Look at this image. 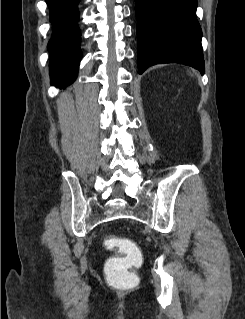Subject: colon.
<instances>
[{
	"instance_id": "obj_1",
	"label": "colon",
	"mask_w": 245,
	"mask_h": 319,
	"mask_svg": "<svg viewBox=\"0 0 245 319\" xmlns=\"http://www.w3.org/2000/svg\"><path fill=\"white\" fill-rule=\"evenodd\" d=\"M103 245L106 249L116 251L122 256L107 264L108 276L121 283L133 282L126 277V272L130 266L140 261L135 244L127 238L110 236L103 241Z\"/></svg>"
}]
</instances>
